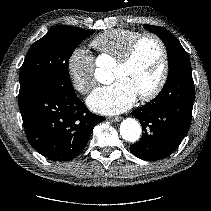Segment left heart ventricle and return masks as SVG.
Here are the masks:
<instances>
[{
  "label": "left heart ventricle",
  "instance_id": "left-heart-ventricle-1",
  "mask_svg": "<svg viewBox=\"0 0 211 211\" xmlns=\"http://www.w3.org/2000/svg\"><path fill=\"white\" fill-rule=\"evenodd\" d=\"M162 69L161 50L152 39L143 40L132 62L126 67L115 66L112 81L128 82L137 95L149 92L159 79Z\"/></svg>",
  "mask_w": 211,
  "mask_h": 211
}]
</instances>
